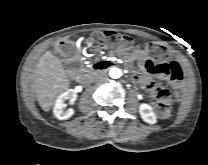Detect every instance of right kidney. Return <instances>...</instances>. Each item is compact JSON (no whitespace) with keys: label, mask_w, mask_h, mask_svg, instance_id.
<instances>
[{"label":"right kidney","mask_w":208,"mask_h":165,"mask_svg":"<svg viewBox=\"0 0 208 165\" xmlns=\"http://www.w3.org/2000/svg\"><path fill=\"white\" fill-rule=\"evenodd\" d=\"M77 98V93L74 89H68L64 93H62L56 100L55 106L53 108V113L56 118L60 120H65L70 118L74 111L72 108L65 109L66 108V101L69 100L71 104H74L75 100Z\"/></svg>","instance_id":"right-kidney-1"}]
</instances>
